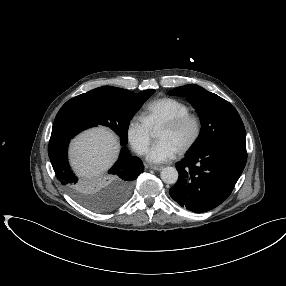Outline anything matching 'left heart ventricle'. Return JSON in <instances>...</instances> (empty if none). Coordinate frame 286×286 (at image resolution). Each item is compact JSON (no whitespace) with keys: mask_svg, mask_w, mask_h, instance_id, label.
I'll use <instances>...</instances> for the list:
<instances>
[{"mask_svg":"<svg viewBox=\"0 0 286 286\" xmlns=\"http://www.w3.org/2000/svg\"><path fill=\"white\" fill-rule=\"evenodd\" d=\"M194 133V127L188 123L179 128H160L157 137L159 140H169L179 150L190 140Z\"/></svg>","mask_w":286,"mask_h":286,"instance_id":"1","label":"left heart ventricle"}]
</instances>
